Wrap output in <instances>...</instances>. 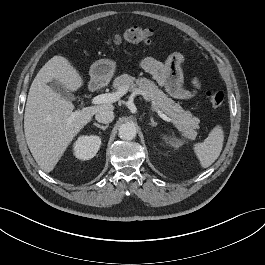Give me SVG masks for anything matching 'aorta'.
I'll return each instance as SVG.
<instances>
[{"mask_svg": "<svg viewBox=\"0 0 265 265\" xmlns=\"http://www.w3.org/2000/svg\"><path fill=\"white\" fill-rule=\"evenodd\" d=\"M136 127L131 123H124L119 128V137L123 140H132L136 137Z\"/></svg>", "mask_w": 265, "mask_h": 265, "instance_id": "aorta-1", "label": "aorta"}]
</instances>
